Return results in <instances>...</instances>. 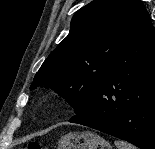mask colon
Returning a JSON list of instances; mask_svg holds the SVG:
<instances>
[{
  "label": "colon",
  "mask_w": 155,
  "mask_h": 149,
  "mask_svg": "<svg viewBox=\"0 0 155 149\" xmlns=\"http://www.w3.org/2000/svg\"><path fill=\"white\" fill-rule=\"evenodd\" d=\"M26 149H45L39 142L31 141L27 144Z\"/></svg>",
  "instance_id": "5ec220e1"
}]
</instances>
